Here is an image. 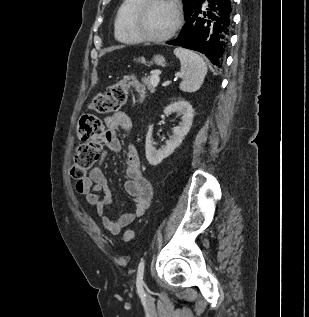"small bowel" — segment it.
<instances>
[{
	"label": "small bowel",
	"mask_w": 309,
	"mask_h": 317,
	"mask_svg": "<svg viewBox=\"0 0 309 317\" xmlns=\"http://www.w3.org/2000/svg\"><path fill=\"white\" fill-rule=\"evenodd\" d=\"M106 132L103 141L107 149L121 151V142L117 135L119 129L129 135L132 122L124 112H117L105 118ZM107 155V150L100 154V161ZM124 189L133 202L130 211L113 220L105 214V208L111 202V193L107 179L99 166L94 167L87 177L78 181L76 190L83 195L88 204L95 207L104 227L112 234H119L135 219L141 217L150 205L153 190L150 182L144 177L137 149L130 145L126 153Z\"/></svg>",
	"instance_id": "obj_1"
}]
</instances>
